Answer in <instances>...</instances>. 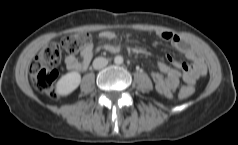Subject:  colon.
Here are the masks:
<instances>
[{
  "instance_id": "obj_1",
  "label": "colon",
  "mask_w": 238,
  "mask_h": 145,
  "mask_svg": "<svg viewBox=\"0 0 238 145\" xmlns=\"http://www.w3.org/2000/svg\"><path fill=\"white\" fill-rule=\"evenodd\" d=\"M91 37L88 33H78L64 37L59 43L52 42L45 46L36 56L30 67V79L36 90L45 93L52 98H58L55 88V81L58 76L56 66L62 58L61 49L69 53L80 51ZM194 90L190 86H183L179 90L178 96L186 99L193 94Z\"/></svg>"
}]
</instances>
